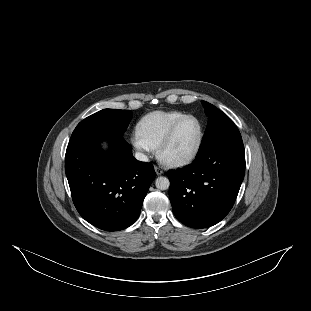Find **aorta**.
I'll return each instance as SVG.
<instances>
[{
	"instance_id": "1",
	"label": "aorta",
	"mask_w": 311,
	"mask_h": 311,
	"mask_svg": "<svg viewBox=\"0 0 311 311\" xmlns=\"http://www.w3.org/2000/svg\"><path fill=\"white\" fill-rule=\"evenodd\" d=\"M155 186L160 190H167L170 186V181L167 177L160 176L155 180Z\"/></svg>"
}]
</instances>
